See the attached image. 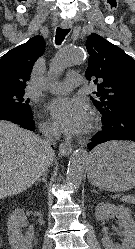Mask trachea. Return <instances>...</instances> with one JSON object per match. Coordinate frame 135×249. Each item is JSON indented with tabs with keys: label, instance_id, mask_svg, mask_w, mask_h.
Here are the masks:
<instances>
[{
	"label": "trachea",
	"instance_id": "obj_1",
	"mask_svg": "<svg viewBox=\"0 0 135 249\" xmlns=\"http://www.w3.org/2000/svg\"><path fill=\"white\" fill-rule=\"evenodd\" d=\"M70 32V29H62V28H57L56 30V37H55V42L57 45H60L67 34Z\"/></svg>",
	"mask_w": 135,
	"mask_h": 249
}]
</instances>
